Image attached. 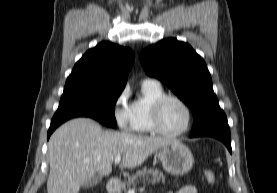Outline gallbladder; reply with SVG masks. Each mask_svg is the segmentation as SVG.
<instances>
[{
  "label": "gallbladder",
  "instance_id": "1",
  "mask_svg": "<svg viewBox=\"0 0 277 193\" xmlns=\"http://www.w3.org/2000/svg\"><path fill=\"white\" fill-rule=\"evenodd\" d=\"M101 181V177L100 176H94L92 179L86 181L83 184V187L85 188H91L96 186L99 182Z\"/></svg>",
  "mask_w": 277,
  "mask_h": 193
}]
</instances>
